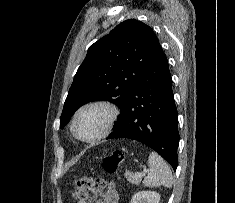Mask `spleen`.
<instances>
[{"mask_svg":"<svg viewBox=\"0 0 235 203\" xmlns=\"http://www.w3.org/2000/svg\"><path fill=\"white\" fill-rule=\"evenodd\" d=\"M149 170L144 177L146 187L165 186L170 188L173 184L172 172L168 164L157 153L151 152L148 159Z\"/></svg>","mask_w":235,"mask_h":203,"instance_id":"1","label":"spleen"}]
</instances>
